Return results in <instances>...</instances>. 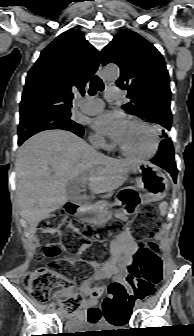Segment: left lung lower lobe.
I'll list each match as a JSON object with an SVG mask.
<instances>
[{
	"label": "left lung lower lobe",
	"mask_w": 194,
	"mask_h": 336,
	"mask_svg": "<svg viewBox=\"0 0 194 336\" xmlns=\"http://www.w3.org/2000/svg\"><path fill=\"white\" fill-rule=\"evenodd\" d=\"M151 161L167 170L176 182L177 179V168L174 159V148L172 141L169 138H165L163 142L160 144V149L155 158L151 159Z\"/></svg>",
	"instance_id": "1"
}]
</instances>
